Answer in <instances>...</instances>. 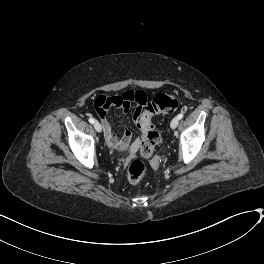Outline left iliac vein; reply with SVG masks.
<instances>
[{"mask_svg": "<svg viewBox=\"0 0 264 264\" xmlns=\"http://www.w3.org/2000/svg\"><path fill=\"white\" fill-rule=\"evenodd\" d=\"M179 119L178 117H174L170 123V126L172 129H175L178 126Z\"/></svg>", "mask_w": 264, "mask_h": 264, "instance_id": "left-iliac-vein-1", "label": "left iliac vein"}]
</instances>
